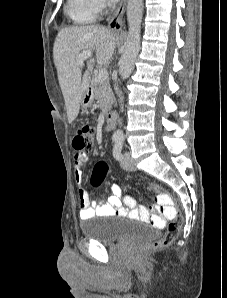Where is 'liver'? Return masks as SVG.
<instances>
[{
    "label": "liver",
    "instance_id": "6515ba94",
    "mask_svg": "<svg viewBox=\"0 0 227 298\" xmlns=\"http://www.w3.org/2000/svg\"><path fill=\"white\" fill-rule=\"evenodd\" d=\"M115 46V34L105 27L75 26L64 28L57 34L53 58L69 123L78 116L82 97L90 87L94 63L108 65ZM84 51H95V56L87 61V68L82 75L84 64L77 65L76 59Z\"/></svg>",
    "mask_w": 227,
    "mask_h": 298
}]
</instances>
